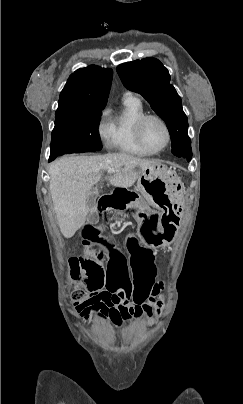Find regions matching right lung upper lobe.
<instances>
[{"instance_id": "obj_1", "label": "right lung upper lobe", "mask_w": 243, "mask_h": 404, "mask_svg": "<svg viewBox=\"0 0 243 404\" xmlns=\"http://www.w3.org/2000/svg\"><path fill=\"white\" fill-rule=\"evenodd\" d=\"M112 76V69L96 65L76 70L60 93L57 110L105 107Z\"/></svg>"}]
</instances>
